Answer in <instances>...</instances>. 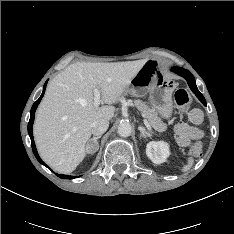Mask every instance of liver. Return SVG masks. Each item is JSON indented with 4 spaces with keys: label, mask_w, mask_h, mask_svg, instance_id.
Here are the masks:
<instances>
[{
    "label": "liver",
    "mask_w": 234,
    "mask_h": 234,
    "mask_svg": "<svg viewBox=\"0 0 234 234\" xmlns=\"http://www.w3.org/2000/svg\"><path fill=\"white\" fill-rule=\"evenodd\" d=\"M146 61L78 62L50 81L36 112L33 134L41 158L52 169L69 174L83 161L91 124L114 117L112 104L128 93ZM94 89L107 105H94Z\"/></svg>",
    "instance_id": "1"
}]
</instances>
